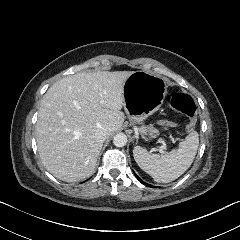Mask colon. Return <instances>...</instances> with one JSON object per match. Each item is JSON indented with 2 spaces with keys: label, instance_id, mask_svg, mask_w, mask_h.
Here are the masks:
<instances>
[{
  "label": "colon",
  "instance_id": "5ec220e1",
  "mask_svg": "<svg viewBox=\"0 0 240 240\" xmlns=\"http://www.w3.org/2000/svg\"><path fill=\"white\" fill-rule=\"evenodd\" d=\"M171 103L174 111L182 113L189 118V124L186 125V133L190 134L191 128L197 123L198 109L194 100L187 95L178 94L172 98ZM176 125L177 122L173 121V119L162 120L163 128H173Z\"/></svg>",
  "mask_w": 240,
  "mask_h": 240
}]
</instances>
